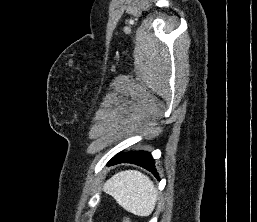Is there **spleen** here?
<instances>
[{
    "label": "spleen",
    "instance_id": "1",
    "mask_svg": "<svg viewBox=\"0 0 257 222\" xmlns=\"http://www.w3.org/2000/svg\"><path fill=\"white\" fill-rule=\"evenodd\" d=\"M103 191L126 211L142 217L154 211L157 201V190L153 182L136 170L116 173L106 181Z\"/></svg>",
    "mask_w": 257,
    "mask_h": 222
}]
</instances>
